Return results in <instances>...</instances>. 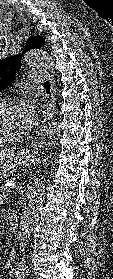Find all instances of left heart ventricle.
Here are the masks:
<instances>
[{
	"mask_svg": "<svg viewBox=\"0 0 113 279\" xmlns=\"http://www.w3.org/2000/svg\"><path fill=\"white\" fill-rule=\"evenodd\" d=\"M28 131L23 106H0V135L15 137Z\"/></svg>",
	"mask_w": 113,
	"mask_h": 279,
	"instance_id": "b2bd125f",
	"label": "left heart ventricle"
}]
</instances>
